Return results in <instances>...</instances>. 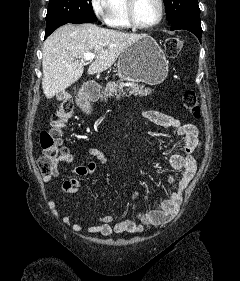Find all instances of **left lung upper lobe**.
Here are the masks:
<instances>
[{
    "instance_id": "1",
    "label": "left lung upper lobe",
    "mask_w": 240,
    "mask_h": 281,
    "mask_svg": "<svg viewBox=\"0 0 240 281\" xmlns=\"http://www.w3.org/2000/svg\"><path fill=\"white\" fill-rule=\"evenodd\" d=\"M165 4L166 17L173 25L179 21H200V9L198 0H163Z\"/></svg>"
}]
</instances>
